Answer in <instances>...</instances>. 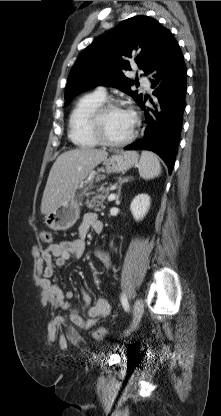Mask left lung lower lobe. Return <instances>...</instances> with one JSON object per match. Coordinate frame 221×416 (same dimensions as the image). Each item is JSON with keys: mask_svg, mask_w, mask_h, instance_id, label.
<instances>
[{"mask_svg": "<svg viewBox=\"0 0 221 416\" xmlns=\"http://www.w3.org/2000/svg\"><path fill=\"white\" fill-rule=\"evenodd\" d=\"M154 101L151 108L145 100L139 104L145 112L144 135L125 150L144 149L157 153L171 174L178 151L185 109L187 69L179 45L169 30L151 64L149 73Z\"/></svg>", "mask_w": 221, "mask_h": 416, "instance_id": "left-lung-lower-lobe-1", "label": "left lung lower lobe"}]
</instances>
